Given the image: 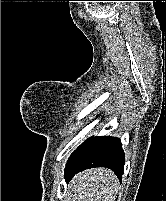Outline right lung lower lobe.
<instances>
[{"label":"right lung lower lobe","instance_id":"98d812e1","mask_svg":"<svg viewBox=\"0 0 166 201\" xmlns=\"http://www.w3.org/2000/svg\"><path fill=\"white\" fill-rule=\"evenodd\" d=\"M125 154L118 138L90 137L69 157L65 168V179L70 180L76 173L93 167H107L121 180Z\"/></svg>","mask_w":166,"mask_h":201}]
</instances>
